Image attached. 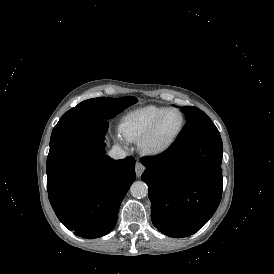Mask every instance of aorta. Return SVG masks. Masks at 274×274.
Segmentation results:
<instances>
[{"label": "aorta", "instance_id": "762f6f07", "mask_svg": "<svg viewBox=\"0 0 274 274\" xmlns=\"http://www.w3.org/2000/svg\"><path fill=\"white\" fill-rule=\"evenodd\" d=\"M130 193L134 198H144L148 194V186L143 181H136L131 185Z\"/></svg>", "mask_w": 274, "mask_h": 274}]
</instances>
